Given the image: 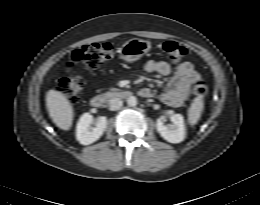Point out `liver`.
I'll return each instance as SVG.
<instances>
[{
    "instance_id": "liver-1",
    "label": "liver",
    "mask_w": 260,
    "mask_h": 205,
    "mask_svg": "<svg viewBox=\"0 0 260 205\" xmlns=\"http://www.w3.org/2000/svg\"><path fill=\"white\" fill-rule=\"evenodd\" d=\"M49 116L57 127L69 130L72 126L74 111L66 96L56 90H49L46 95Z\"/></svg>"
}]
</instances>
